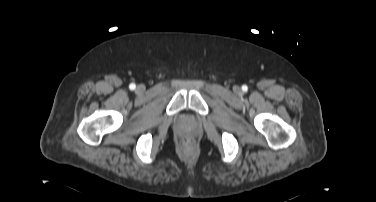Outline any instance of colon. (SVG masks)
<instances>
[{"label":"colon","instance_id":"5ec220e1","mask_svg":"<svg viewBox=\"0 0 376 202\" xmlns=\"http://www.w3.org/2000/svg\"><path fill=\"white\" fill-rule=\"evenodd\" d=\"M191 142H192L191 139H189V138L185 139V143H186V144H190Z\"/></svg>","mask_w":376,"mask_h":202}]
</instances>
